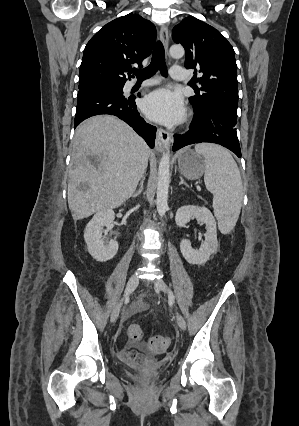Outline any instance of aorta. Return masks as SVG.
I'll list each match as a JSON object with an SVG mask.
<instances>
[{"label": "aorta", "mask_w": 299, "mask_h": 426, "mask_svg": "<svg viewBox=\"0 0 299 426\" xmlns=\"http://www.w3.org/2000/svg\"><path fill=\"white\" fill-rule=\"evenodd\" d=\"M170 56L174 59H180L185 51L181 45H172L169 49ZM170 155L163 154L158 168V183L156 191V206L158 214L163 217L168 210V188L170 183Z\"/></svg>", "instance_id": "762f6f07"}]
</instances>
